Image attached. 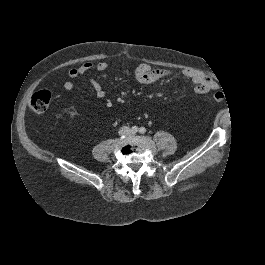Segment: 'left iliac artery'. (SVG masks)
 <instances>
[{"label":"left iliac artery","instance_id":"left-iliac-artery-1","mask_svg":"<svg viewBox=\"0 0 265 265\" xmlns=\"http://www.w3.org/2000/svg\"><path fill=\"white\" fill-rule=\"evenodd\" d=\"M139 132H140L141 134H144V133L146 132L145 127H141L140 130H139Z\"/></svg>","mask_w":265,"mask_h":265}]
</instances>
